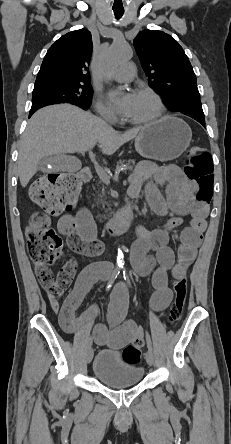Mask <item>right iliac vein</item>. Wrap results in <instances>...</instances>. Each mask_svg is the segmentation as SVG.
I'll return each instance as SVG.
<instances>
[{
    "instance_id": "right-iliac-vein-1",
    "label": "right iliac vein",
    "mask_w": 231,
    "mask_h": 444,
    "mask_svg": "<svg viewBox=\"0 0 231 444\" xmlns=\"http://www.w3.org/2000/svg\"><path fill=\"white\" fill-rule=\"evenodd\" d=\"M93 355H94L93 349L89 348L86 353V360L88 363H90L92 361Z\"/></svg>"
}]
</instances>
